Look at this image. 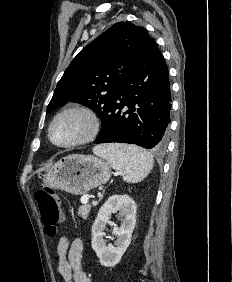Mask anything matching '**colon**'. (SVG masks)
I'll return each instance as SVG.
<instances>
[{"instance_id": "5ec220e1", "label": "colon", "mask_w": 232, "mask_h": 282, "mask_svg": "<svg viewBox=\"0 0 232 282\" xmlns=\"http://www.w3.org/2000/svg\"><path fill=\"white\" fill-rule=\"evenodd\" d=\"M45 233L48 236H55L61 222L60 200L57 193L51 188L39 190L34 195Z\"/></svg>"}]
</instances>
